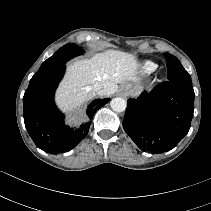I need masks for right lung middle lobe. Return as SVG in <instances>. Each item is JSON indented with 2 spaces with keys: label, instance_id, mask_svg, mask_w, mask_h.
Masks as SVG:
<instances>
[{
  "label": "right lung middle lobe",
  "instance_id": "1",
  "mask_svg": "<svg viewBox=\"0 0 211 211\" xmlns=\"http://www.w3.org/2000/svg\"><path fill=\"white\" fill-rule=\"evenodd\" d=\"M83 50L76 44L70 43L61 47L53 56L43 62L39 70H44L49 67L65 64L71 58L83 54Z\"/></svg>",
  "mask_w": 211,
  "mask_h": 211
}]
</instances>
